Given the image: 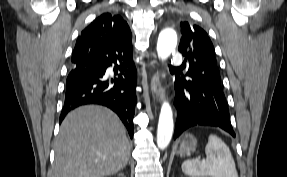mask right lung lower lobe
I'll return each mask as SVG.
<instances>
[{"mask_svg":"<svg viewBox=\"0 0 287 177\" xmlns=\"http://www.w3.org/2000/svg\"><path fill=\"white\" fill-rule=\"evenodd\" d=\"M132 51V44L124 41L92 45L87 57L71 67L60 123L76 107L100 104L117 113L132 137L137 102ZM110 66H114L117 77L108 78L106 70Z\"/></svg>","mask_w":287,"mask_h":177,"instance_id":"right-lung-lower-lobe-1","label":"right lung lower lobe"}]
</instances>
